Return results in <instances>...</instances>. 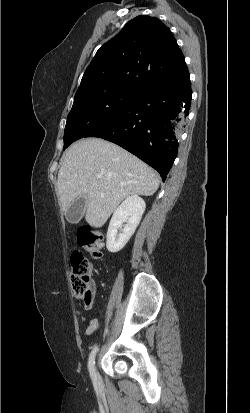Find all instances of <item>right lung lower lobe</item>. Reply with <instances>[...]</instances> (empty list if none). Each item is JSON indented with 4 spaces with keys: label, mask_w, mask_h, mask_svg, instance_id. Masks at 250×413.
I'll return each mask as SVG.
<instances>
[{
    "label": "right lung lower lobe",
    "mask_w": 250,
    "mask_h": 413,
    "mask_svg": "<svg viewBox=\"0 0 250 413\" xmlns=\"http://www.w3.org/2000/svg\"><path fill=\"white\" fill-rule=\"evenodd\" d=\"M192 98L190 77L182 84L142 90L118 115L85 137L111 141L139 157L166 179Z\"/></svg>",
    "instance_id": "obj_1"
}]
</instances>
